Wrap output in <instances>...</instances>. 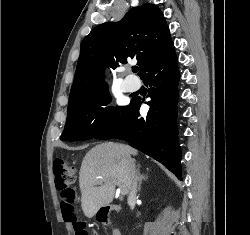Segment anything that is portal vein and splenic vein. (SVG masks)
<instances>
[{
    "label": "portal vein and splenic vein",
    "mask_w": 250,
    "mask_h": 235,
    "mask_svg": "<svg viewBox=\"0 0 250 235\" xmlns=\"http://www.w3.org/2000/svg\"><path fill=\"white\" fill-rule=\"evenodd\" d=\"M121 194L124 195V194H126V192L121 189Z\"/></svg>",
    "instance_id": "portal-vein-and-splenic-vein-1"
}]
</instances>
